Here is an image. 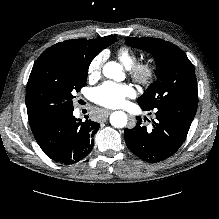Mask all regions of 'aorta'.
<instances>
[{
	"label": "aorta",
	"instance_id": "aorta-1",
	"mask_svg": "<svg viewBox=\"0 0 219 219\" xmlns=\"http://www.w3.org/2000/svg\"><path fill=\"white\" fill-rule=\"evenodd\" d=\"M103 74L106 78L117 80L122 74V67L117 62H107L103 66ZM127 122V115L123 111H115L110 116V123L115 128H123L127 125Z\"/></svg>",
	"mask_w": 219,
	"mask_h": 219
}]
</instances>
